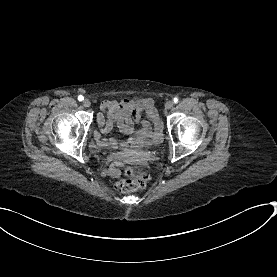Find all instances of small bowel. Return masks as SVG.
Segmentation results:
<instances>
[{"label": "small bowel", "mask_w": 277, "mask_h": 277, "mask_svg": "<svg viewBox=\"0 0 277 277\" xmlns=\"http://www.w3.org/2000/svg\"><path fill=\"white\" fill-rule=\"evenodd\" d=\"M102 108L106 112V117L103 115L97 117V122L100 125V130L95 135L98 146L114 150L119 148V141L115 139L107 140L101 136L108 133L114 125L122 133L133 136L136 140L144 139L155 142L160 138L162 122L152 98L124 99L121 102L108 100L102 103ZM143 115L146 118H143ZM117 158L116 156L113 160ZM112 175L118 177L119 173L115 170Z\"/></svg>", "instance_id": "obj_1"}]
</instances>
